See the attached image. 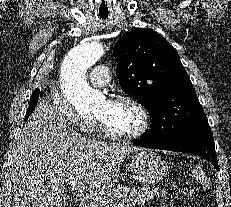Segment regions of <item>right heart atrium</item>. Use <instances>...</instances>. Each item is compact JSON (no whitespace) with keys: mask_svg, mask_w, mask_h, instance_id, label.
Masks as SVG:
<instances>
[{"mask_svg":"<svg viewBox=\"0 0 231 207\" xmlns=\"http://www.w3.org/2000/svg\"><path fill=\"white\" fill-rule=\"evenodd\" d=\"M52 103L57 113L81 132L84 134H92L95 132L96 123L79 113L64 96L55 92L53 94Z\"/></svg>","mask_w":231,"mask_h":207,"instance_id":"obj_1","label":"right heart atrium"}]
</instances>
